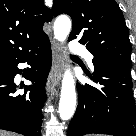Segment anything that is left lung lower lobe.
<instances>
[{
    "label": "left lung lower lobe",
    "instance_id": "obj_1",
    "mask_svg": "<svg viewBox=\"0 0 136 136\" xmlns=\"http://www.w3.org/2000/svg\"><path fill=\"white\" fill-rule=\"evenodd\" d=\"M94 78L101 87L78 85L79 104L67 136L107 134L136 136V109L130 68L94 61Z\"/></svg>",
    "mask_w": 136,
    "mask_h": 136
}]
</instances>
